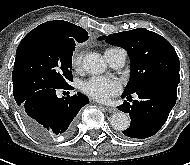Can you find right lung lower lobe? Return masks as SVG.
Masks as SVG:
<instances>
[{"label":"right lung lower lobe","mask_w":190,"mask_h":165,"mask_svg":"<svg viewBox=\"0 0 190 165\" xmlns=\"http://www.w3.org/2000/svg\"><path fill=\"white\" fill-rule=\"evenodd\" d=\"M68 85L61 89H68ZM59 88L40 89L29 95L20 105V115L31 131L41 141L51 142L72 134L79 110L89 99L77 92L71 97L58 98Z\"/></svg>","instance_id":"98d812e1"}]
</instances>
